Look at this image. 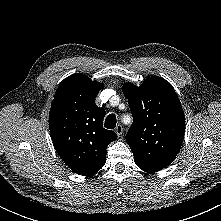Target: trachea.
<instances>
[{"mask_svg":"<svg viewBox=\"0 0 221 221\" xmlns=\"http://www.w3.org/2000/svg\"><path fill=\"white\" fill-rule=\"evenodd\" d=\"M116 115L115 114H109L105 120L104 126L107 129H114L116 127Z\"/></svg>","mask_w":221,"mask_h":221,"instance_id":"3493384b","label":"trachea"}]
</instances>
